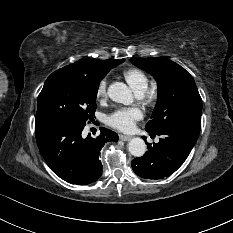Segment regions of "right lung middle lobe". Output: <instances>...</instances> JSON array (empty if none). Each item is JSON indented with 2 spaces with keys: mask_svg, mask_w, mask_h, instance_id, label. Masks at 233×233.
Returning <instances> with one entry per match:
<instances>
[{
  "mask_svg": "<svg viewBox=\"0 0 233 233\" xmlns=\"http://www.w3.org/2000/svg\"><path fill=\"white\" fill-rule=\"evenodd\" d=\"M123 61L106 65L96 75H84L65 68L52 73L38 96L35 121L58 120L85 125L93 119L100 81Z\"/></svg>",
  "mask_w": 233,
  "mask_h": 233,
  "instance_id": "obj_1",
  "label": "right lung middle lobe"
}]
</instances>
